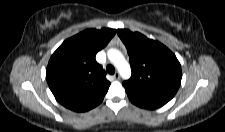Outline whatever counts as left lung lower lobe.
Here are the masks:
<instances>
[{
  "instance_id": "left-lung-lower-lobe-1",
  "label": "left lung lower lobe",
  "mask_w": 225,
  "mask_h": 132,
  "mask_svg": "<svg viewBox=\"0 0 225 132\" xmlns=\"http://www.w3.org/2000/svg\"><path fill=\"white\" fill-rule=\"evenodd\" d=\"M128 97H129V100L133 104H135L141 108L151 109V110L159 108L168 102V101H164V100H145V99H140V98H134L131 96H128Z\"/></svg>"
}]
</instances>
